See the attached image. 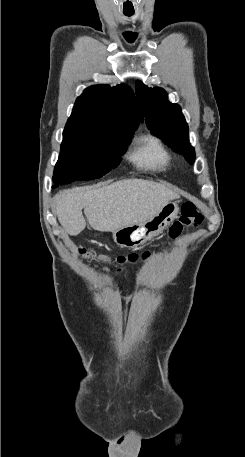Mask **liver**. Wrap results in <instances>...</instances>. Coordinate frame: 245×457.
<instances>
[{
	"label": "liver",
	"instance_id": "1",
	"mask_svg": "<svg viewBox=\"0 0 245 457\" xmlns=\"http://www.w3.org/2000/svg\"><path fill=\"white\" fill-rule=\"evenodd\" d=\"M178 196L154 180L123 178L101 188L76 186L61 190L55 196L56 214L66 233L73 237L86 226L82 208L92 229L115 233L125 224L152 218L163 204Z\"/></svg>",
	"mask_w": 245,
	"mask_h": 457
}]
</instances>
